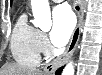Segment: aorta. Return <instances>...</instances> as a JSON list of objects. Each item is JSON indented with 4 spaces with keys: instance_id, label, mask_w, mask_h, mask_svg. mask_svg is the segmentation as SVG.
<instances>
[{
    "instance_id": "aorta-1",
    "label": "aorta",
    "mask_w": 102,
    "mask_h": 75,
    "mask_svg": "<svg viewBox=\"0 0 102 75\" xmlns=\"http://www.w3.org/2000/svg\"><path fill=\"white\" fill-rule=\"evenodd\" d=\"M34 16L33 24L43 31L50 30L52 26L51 13L48 0H31ZM62 75H74V64L69 62L64 68Z\"/></svg>"
}]
</instances>
